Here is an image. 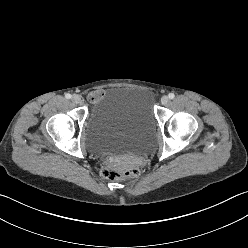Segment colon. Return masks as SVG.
<instances>
[{
    "label": "colon",
    "instance_id": "colon-1",
    "mask_svg": "<svg viewBox=\"0 0 248 248\" xmlns=\"http://www.w3.org/2000/svg\"><path fill=\"white\" fill-rule=\"evenodd\" d=\"M138 173L139 171L135 167L121 166L115 163H107L101 171L102 177L111 180L132 179L135 178Z\"/></svg>",
    "mask_w": 248,
    "mask_h": 248
}]
</instances>
